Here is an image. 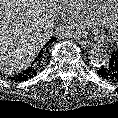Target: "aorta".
Returning a JSON list of instances; mask_svg holds the SVG:
<instances>
[{
    "label": "aorta",
    "mask_w": 118,
    "mask_h": 118,
    "mask_svg": "<svg viewBox=\"0 0 118 118\" xmlns=\"http://www.w3.org/2000/svg\"><path fill=\"white\" fill-rule=\"evenodd\" d=\"M109 55L107 52L101 48H93L90 51L89 59L91 61V64L95 67H101L104 65L108 60Z\"/></svg>",
    "instance_id": "obj_1"
}]
</instances>
